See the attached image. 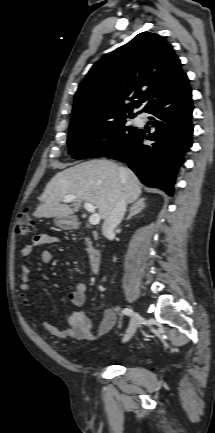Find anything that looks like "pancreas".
Masks as SVG:
<instances>
[{"label": "pancreas", "mask_w": 215, "mask_h": 433, "mask_svg": "<svg viewBox=\"0 0 215 433\" xmlns=\"http://www.w3.org/2000/svg\"><path fill=\"white\" fill-rule=\"evenodd\" d=\"M86 245H87V251L90 253L93 250V247L91 245V242L89 241V239H86Z\"/></svg>", "instance_id": "1"}]
</instances>
